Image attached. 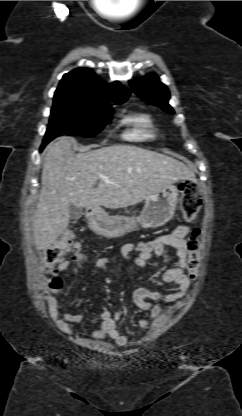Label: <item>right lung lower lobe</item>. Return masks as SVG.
Listing matches in <instances>:
<instances>
[{"mask_svg": "<svg viewBox=\"0 0 242 416\" xmlns=\"http://www.w3.org/2000/svg\"><path fill=\"white\" fill-rule=\"evenodd\" d=\"M44 148V146H43V144H42V147H41V150Z\"/></svg>", "mask_w": 242, "mask_h": 416, "instance_id": "obj_1", "label": "right lung lower lobe"}]
</instances>
